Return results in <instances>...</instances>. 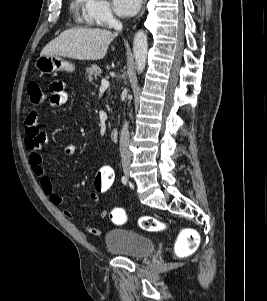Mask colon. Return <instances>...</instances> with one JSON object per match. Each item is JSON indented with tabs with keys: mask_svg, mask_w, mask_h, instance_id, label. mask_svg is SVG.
I'll return each instance as SVG.
<instances>
[{
	"mask_svg": "<svg viewBox=\"0 0 267 301\" xmlns=\"http://www.w3.org/2000/svg\"><path fill=\"white\" fill-rule=\"evenodd\" d=\"M27 91L30 102L33 105H39L44 100V93L41 87L31 82L28 84ZM114 185V171L110 165H102L95 176L93 191L101 196L110 194ZM109 218L113 223L123 224L127 220V212L123 207H114L109 211ZM139 225L146 231H160L164 228V224L151 216H143L139 219ZM199 244V237L194 230H184L179 235L176 242V253L179 256H188L196 251Z\"/></svg>",
	"mask_w": 267,
	"mask_h": 301,
	"instance_id": "obj_1",
	"label": "colon"
}]
</instances>
